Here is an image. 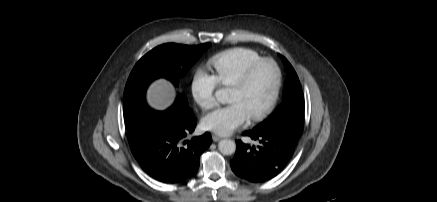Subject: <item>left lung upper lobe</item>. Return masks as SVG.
Instances as JSON below:
<instances>
[{
  "instance_id": "obj_1",
  "label": "left lung upper lobe",
  "mask_w": 437,
  "mask_h": 202,
  "mask_svg": "<svg viewBox=\"0 0 437 202\" xmlns=\"http://www.w3.org/2000/svg\"><path fill=\"white\" fill-rule=\"evenodd\" d=\"M279 56L288 74L282 103L266 120L253 129L276 130L297 139L304 114V94L295 70L282 55Z\"/></svg>"
}]
</instances>
